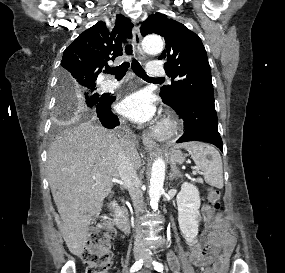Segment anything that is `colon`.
I'll return each mask as SVG.
<instances>
[{"instance_id":"colon-1","label":"colon","mask_w":285,"mask_h":273,"mask_svg":"<svg viewBox=\"0 0 285 273\" xmlns=\"http://www.w3.org/2000/svg\"><path fill=\"white\" fill-rule=\"evenodd\" d=\"M208 199L214 209H220V191L218 189H210ZM113 236L114 230L107 224L106 220H98L93 224L87 244L81 253L82 260L87 266V273L109 272L113 264L110 250ZM203 273H215V269L207 267Z\"/></svg>"}]
</instances>
